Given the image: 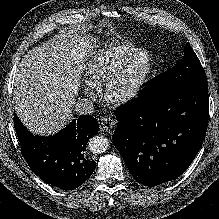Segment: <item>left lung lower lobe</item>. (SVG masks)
Wrapping results in <instances>:
<instances>
[{"instance_id": "left-lung-lower-lobe-1", "label": "left lung lower lobe", "mask_w": 219, "mask_h": 219, "mask_svg": "<svg viewBox=\"0 0 219 219\" xmlns=\"http://www.w3.org/2000/svg\"><path fill=\"white\" fill-rule=\"evenodd\" d=\"M208 85L177 89L155 100L116 109L113 143L136 181L156 186L174 180L193 162L208 125Z\"/></svg>"}]
</instances>
